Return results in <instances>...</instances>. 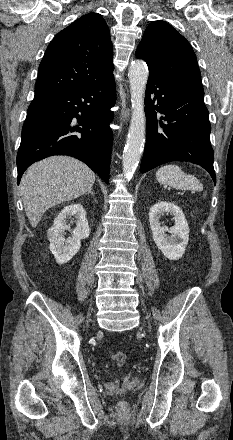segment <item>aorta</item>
Masks as SVG:
<instances>
[{"label": "aorta", "mask_w": 233, "mask_h": 440, "mask_svg": "<svg viewBox=\"0 0 233 440\" xmlns=\"http://www.w3.org/2000/svg\"><path fill=\"white\" fill-rule=\"evenodd\" d=\"M148 75V68L144 61L135 60L131 63L128 76L132 116L123 155V172L127 178L133 176L145 143L144 96Z\"/></svg>", "instance_id": "aorta-1"}]
</instances>
